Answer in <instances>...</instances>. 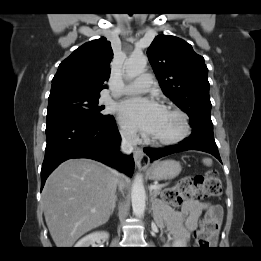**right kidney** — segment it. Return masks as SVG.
I'll return each mask as SVG.
<instances>
[{
  "instance_id": "1",
  "label": "right kidney",
  "mask_w": 261,
  "mask_h": 261,
  "mask_svg": "<svg viewBox=\"0 0 261 261\" xmlns=\"http://www.w3.org/2000/svg\"><path fill=\"white\" fill-rule=\"evenodd\" d=\"M109 234L107 232H94L79 240L75 247L76 248H88L94 247L97 240H107Z\"/></svg>"
}]
</instances>
